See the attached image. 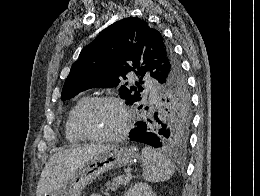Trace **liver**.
Instances as JSON below:
<instances>
[{"label": "liver", "mask_w": 260, "mask_h": 196, "mask_svg": "<svg viewBox=\"0 0 260 196\" xmlns=\"http://www.w3.org/2000/svg\"><path fill=\"white\" fill-rule=\"evenodd\" d=\"M106 146L103 144H86V146H76L71 150H62L51 156L47 162L38 182L36 196L53 194L61 190L80 166H85L94 156L101 154Z\"/></svg>", "instance_id": "liver-1"}]
</instances>
